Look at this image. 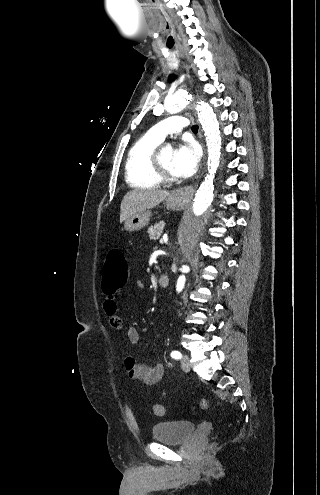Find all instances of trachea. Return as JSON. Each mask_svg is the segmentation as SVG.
<instances>
[{
    "instance_id": "3493384b",
    "label": "trachea",
    "mask_w": 320,
    "mask_h": 495,
    "mask_svg": "<svg viewBox=\"0 0 320 495\" xmlns=\"http://www.w3.org/2000/svg\"><path fill=\"white\" fill-rule=\"evenodd\" d=\"M192 131H193L194 133H197V132H198V125H193V126H192Z\"/></svg>"
}]
</instances>
